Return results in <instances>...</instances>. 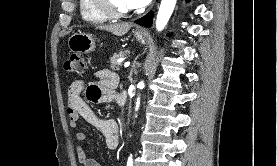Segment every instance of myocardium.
Segmentation results:
<instances>
[{
    "instance_id": "myocardium-1",
    "label": "myocardium",
    "mask_w": 277,
    "mask_h": 166,
    "mask_svg": "<svg viewBox=\"0 0 277 166\" xmlns=\"http://www.w3.org/2000/svg\"><path fill=\"white\" fill-rule=\"evenodd\" d=\"M92 6L109 19H121L131 14L130 10L116 9L110 0H90Z\"/></svg>"
}]
</instances>
